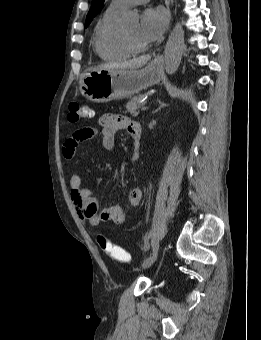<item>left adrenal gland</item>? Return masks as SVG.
Returning <instances> with one entry per match:
<instances>
[{
	"label": "left adrenal gland",
	"instance_id": "left-adrenal-gland-1",
	"mask_svg": "<svg viewBox=\"0 0 261 340\" xmlns=\"http://www.w3.org/2000/svg\"><path fill=\"white\" fill-rule=\"evenodd\" d=\"M158 103H159V107H158L157 111L160 110V109L163 108V107L168 106V104L162 102L161 100H158Z\"/></svg>",
	"mask_w": 261,
	"mask_h": 340
}]
</instances>
